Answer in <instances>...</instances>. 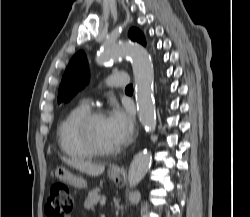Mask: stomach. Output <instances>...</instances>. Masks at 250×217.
Wrapping results in <instances>:
<instances>
[{
    "label": "stomach",
    "instance_id": "1",
    "mask_svg": "<svg viewBox=\"0 0 250 217\" xmlns=\"http://www.w3.org/2000/svg\"><path fill=\"white\" fill-rule=\"evenodd\" d=\"M54 174H55V177L58 180L66 183L68 185L74 186V187L79 188V189H83V188L87 187V183H86V181L84 179H82L81 177L73 175L69 170H67L63 166L57 167L55 169ZM108 176L112 181L120 180V174L119 173H111V172H109Z\"/></svg>",
    "mask_w": 250,
    "mask_h": 217
}]
</instances>
